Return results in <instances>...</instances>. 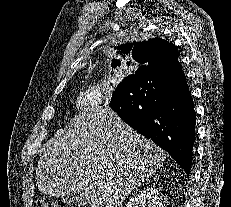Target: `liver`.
<instances>
[{
	"instance_id": "liver-1",
	"label": "liver",
	"mask_w": 231,
	"mask_h": 207,
	"mask_svg": "<svg viewBox=\"0 0 231 207\" xmlns=\"http://www.w3.org/2000/svg\"><path fill=\"white\" fill-rule=\"evenodd\" d=\"M165 159L161 148L104 105L80 112L45 144L36 181L44 195L77 192L90 207H120Z\"/></svg>"
}]
</instances>
